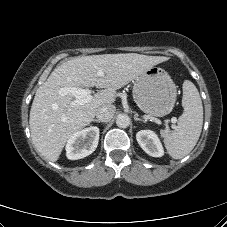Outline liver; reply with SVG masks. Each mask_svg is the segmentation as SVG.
<instances>
[{
	"label": "liver",
	"instance_id": "liver-1",
	"mask_svg": "<svg viewBox=\"0 0 227 227\" xmlns=\"http://www.w3.org/2000/svg\"><path fill=\"white\" fill-rule=\"evenodd\" d=\"M166 60L164 56L137 53L103 54L76 57L55 68L37 89L30 110V132L36 149L56 162L68 139L92 122L98 108L116 101L118 89ZM99 70L103 76L97 75ZM94 86L105 89L82 105H73L76 98L62 92Z\"/></svg>",
	"mask_w": 227,
	"mask_h": 227
}]
</instances>
